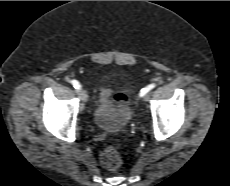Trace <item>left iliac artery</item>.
Instances as JSON below:
<instances>
[{
    "instance_id": "obj_1",
    "label": "left iliac artery",
    "mask_w": 230,
    "mask_h": 186,
    "mask_svg": "<svg viewBox=\"0 0 230 186\" xmlns=\"http://www.w3.org/2000/svg\"><path fill=\"white\" fill-rule=\"evenodd\" d=\"M156 85L155 84H150L147 87L143 88L140 91V96H144L146 93H148L150 90H152Z\"/></svg>"
}]
</instances>
